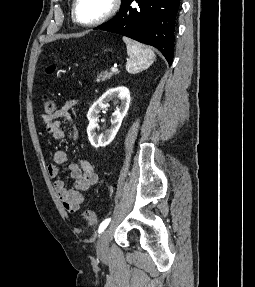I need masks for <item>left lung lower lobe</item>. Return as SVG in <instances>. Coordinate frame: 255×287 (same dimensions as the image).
I'll return each mask as SVG.
<instances>
[{
    "mask_svg": "<svg viewBox=\"0 0 255 287\" xmlns=\"http://www.w3.org/2000/svg\"><path fill=\"white\" fill-rule=\"evenodd\" d=\"M180 1L122 0L117 16L95 29L121 34L154 46L171 65Z\"/></svg>",
    "mask_w": 255,
    "mask_h": 287,
    "instance_id": "obj_1",
    "label": "left lung lower lobe"
}]
</instances>
